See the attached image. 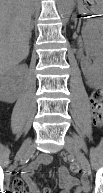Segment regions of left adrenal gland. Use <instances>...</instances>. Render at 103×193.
I'll use <instances>...</instances> for the list:
<instances>
[{"instance_id": "left-adrenal-gland-1", "label": "left adrenal gland", "mask_w": 103, "mask_h": 193, "mask_svg": "<svg viewBox=\"0 0 103 193\" xmlns=\"http://www.w3.org/2000/svg\"><path fill=\"white\" fill-rule=\"evenodd\" d=\"M77 25V18L74 19V28H76Z\"/></svg>"}]
</instances>
